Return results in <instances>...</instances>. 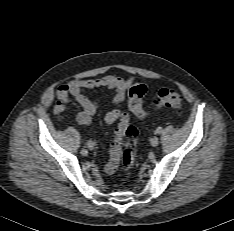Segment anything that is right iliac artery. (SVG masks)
Instances as JSON below:
<instances>
[{
	"mask_svg": "<svg viewBox=\"0 0 234 231\" xmlns=\"http://www.w3.org/2000/svg\"><path fill=\"white\" fill-rule=\"evenodd\" d=\"M87 147H88L90 150H93V149L96 147V144H95L93 141H88Z\"/></svg>",
	"mask_w": 234,
	"mask_h": 231,
	"instance_id": "82829eb1",
	"label": "right iliac artery"
}]
</instances>
